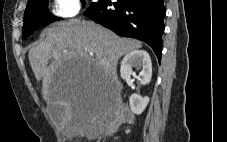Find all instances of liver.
I'll use <instances>...</instances> for the list:
<instances>
[{
  "mask_svg": "<svg viewBox=\"0 0 227 142\" xmlns=\"http://www.w3.org/2000/svg\"><path fill=\"white\" fill-rule=\"evenodd\" d=\"M42 41L29 51V62L37 81H42V97L50 104L66 108L62 129L69 134L83 112V102L96 94L103 80L118 86V60L142 47V42L122 38L93 22L72 19L48 26L41 34ZM53 61L49 64V60ZM62 61H91L84 88H71L69 81L54 78L61 73Z\"/></svg>",
  "mask_w": 227,
  "mask_h": 142,
  "instance_id": "1",
  "label": "liver"
}]
</instances>
